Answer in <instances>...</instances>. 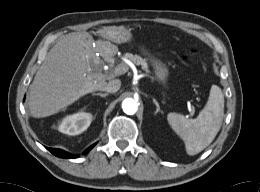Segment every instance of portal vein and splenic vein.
Listing matches in <instances>:
<instances>
[{
	"mask_svg": "<svg viewBox=\"0 0 260 192\" xmlns=\"http://www.w3.org/2000/svg\"><path fill=\"white\" fill-rule=\"evenodd\" d=\"M128 69L129 68L126 64L121 63L114 68L112 75L117 76V75L125 74L128 71Z\"/></svg>",
	"mask_w": 260,
	"mask_h": 192,
	"instance_id": "obj_1",
	"label": "portal vein and splenic vein"
}]
</instances>
